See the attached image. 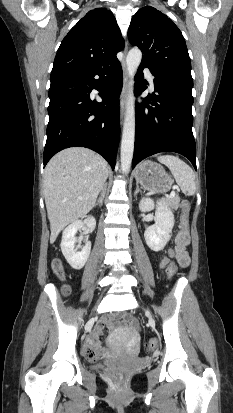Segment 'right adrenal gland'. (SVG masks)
I'll list each match as a JSON object with an SVG mask.
<instances>
[{"instance_id":"2a0ac1e0","label":"right adrenal gland","mask_w":233,"mask_h":413,"mask_svg":"<svg viewBox=\"0 0 233 413\" xmlns=\"http://www.w3.org/2000/svg\"><path fill=\"white\" fill-rule=\"evenodd\" d=\"M105 192H106V186H105V188L103 189V191H102V193H101V196H100V198L97 200V202H96V204H95V206H102V204H103V199H104V196H105Z\"/></svg>"}]
</instances>
